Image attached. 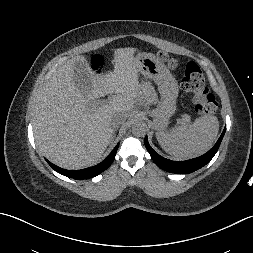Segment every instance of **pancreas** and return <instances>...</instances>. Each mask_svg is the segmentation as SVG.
Wrapping results in <instances>:
<instances>
[{
  "label": "pancreas",
  "mask_w": 253,
  "mask_h": 253,
  "mask_svg": "<svg viewBox=\"0 0 253 253\" xmlns=\"http://www.w3.org/2000/svg\"><path fill=\"white\" fill-rule=\"evenodd\" d=\"M138 87L145 92V96L147 97L148 101L150 102L158 101L155 90L150 84H138Z\"/></svg>",
  "instance_id": "pancreas-1"
}]
</instances>
